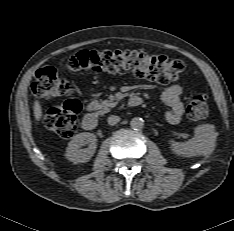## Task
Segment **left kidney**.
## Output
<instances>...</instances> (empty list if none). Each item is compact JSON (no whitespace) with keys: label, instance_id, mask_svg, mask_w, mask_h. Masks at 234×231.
I'll return each mask as SVG.
<instances>
[{"label":"left kidney","instance_id":"left-kidney-1","mask_svg":"<svg viewBox=\"0 0 234 231\" xmlns=\"http://www.w3.org/2000/svg\"><path fill=\"white\" fill-rule=\"evenodd\" d=\"M218 132L212 124H202L194 128V137L187 143L172 142V151L180 156L192 157L211 154L217 141Z\"/></svg>","mask_w":234,"mask_h":231}]
</instances>
